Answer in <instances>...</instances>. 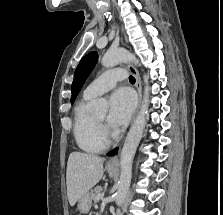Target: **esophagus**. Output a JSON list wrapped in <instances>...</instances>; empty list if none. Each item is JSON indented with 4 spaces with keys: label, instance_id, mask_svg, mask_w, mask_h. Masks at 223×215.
<instances>
[{
    "label": "esophagus",
    "instance_id": "1",
    "mask_svg": "<svg viewBox=\"0 0 223 215\" xmlns=\"http://www.w3.org/2000/svg\"><path fill=\"white\" fill-rule=\"evenodd\" d=\"M122 32L124 34V30L122 27ZM124 41L127 43V37L124 34ZM127 68L128 70L134 75L135 79H136V89L138 91V105H137V111L139 110L141 103H142V85H141V79L139 76V73L137 72L136 68L132 65V64H127ZM107 166L108 167H114V166H118V157H112L108 160L107 162Z\"/></svg>",
    "mask_w": 223,
    "mask_h": 215
}]
</instances>
